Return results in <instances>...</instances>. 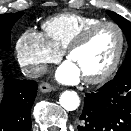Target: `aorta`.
<instances>
[{"instance_id":"obj_1","label":"aorta","mask_w":131,"mask_h":131,"mask_svg":"<svg viewBox=\"0 0 131 131\" xmlns=\"http://www.w3.org/2000/svg\"><path fill=\"white\" fill-rule=\"evenodd\" d=\"M60 105L67 111L76 110L80 105V98L74 91H64L59 98Z\"/></svg>"}]
</instances>
